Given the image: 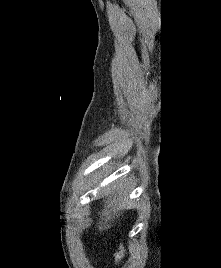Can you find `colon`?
Instances as JSON below:
<instances>
[{"label":"colon","mask_w":221,"mask_h":268,"mask_svg":"<svg viewBox=\"0 0 221 268\" xmlns=\"http://www.w3.org/2000/svg\"><path fill=\"white\" fill-rule=\"evenodd\" d=\"M122 257V250H120L118 253H117V258H121Z\"/></svg>","instance_id":"colon-1"}]
</instances>
